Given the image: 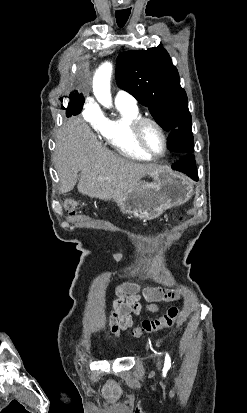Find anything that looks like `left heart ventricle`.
<instances>
[{"instance_id":"b2bd125f","label":"left heart ventricle","mask_w":247,"mask_h":413,"mask_svg":"<svg viewBox=\"0 0 247 413\" xmlns=\"http://www.w3.org/2000/svg\"><path fill=\"white\" fill-rule=\"evenodd\" d=\"M141 138L144 145L151 151L161 154L164 149V141L160 132L149 125H146L142 128Z\"/></svg>"}]
</instances>
